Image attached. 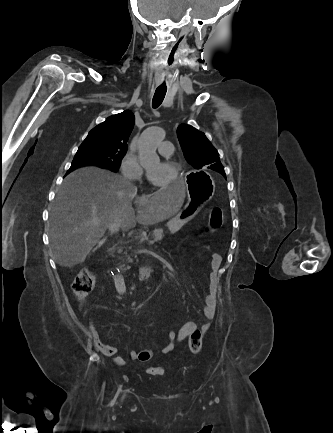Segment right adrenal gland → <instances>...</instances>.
<instances>
[{"instance_id":"1","label":"right adrenal gland","mask_w":333,"mask_h":433,"mask_svg":"<svg viewBox=\"0 0 333 433\" xmlns=\"http://www.w3.org/2000/svg\"><path fill=\"white\" fill-rule=\"evenodd\" d=\"M105 241H106V238H104V239L102 240V243L105 242ZM99 246H100V245H98L96 248H94V250H96ZM94 250H93V251H94Z\"/></svg>"}]
</instances>
